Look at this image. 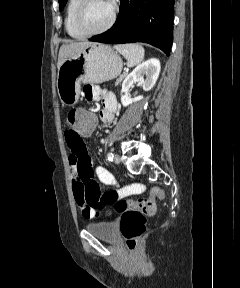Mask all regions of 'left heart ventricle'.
I'll return each mask as SVG.
<instances>
[{"label":"left heart ventricle","mask_w":240,"mask_h":288,"mask_svg":"<svg viewBox=\"0 0 240 288\" xmlns=\"http://www.w3.org/2000/svg\"><path fill=\"white\" fill-rule=\"evenodd\" d=\"M111 11L110 0H89L82 18L84 27L88 30L100 29L109 20Z\"/></svg>","instance_id":"left-heart-ventricle-1"}]
</instances>
